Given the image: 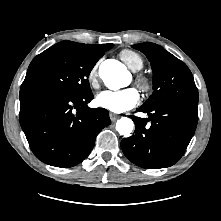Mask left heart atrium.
I'll return each mask as SVG.
<instances>
[{
    "mask_svg": "<svg viewBox=\"0 0 221 221\" xmlns=\"http://www.w3.org/2000/svg\"><path fill=\"white\" fill-rule=\"evenodd\" d=\"M139 100V91L134 87L103 91L96 98L99 107L115 113H121L133 108L138 104Z\"/></svg>",
    "mask_w": 221,
    "mask_h": 221,
    "instance_id": "1",
    "label": "left heart atrium"
}]
</instances>
